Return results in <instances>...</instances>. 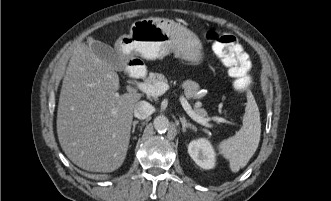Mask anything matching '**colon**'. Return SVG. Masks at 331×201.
<instances>
[{"mask_svg": "<svg viewBox=\"0 0 331 201\" xmlns=\"http://www.w3.org/2000/svg\"><path fill=\"white\" fill-rule=\"evenodd\" d=\"M207 38L213 43L215 53L227 67L235 89L241 93H248L252 85L249 74L250 62L237 39L228 33L216 31L209 32Z\"/></svg>", "mask_w": 331, "mask_h": 201, "instance_id": "obj_1", "label": "colon"}]
</instances>
